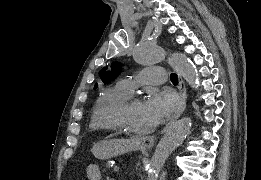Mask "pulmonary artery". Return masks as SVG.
Masks as SVG:
<instances>
[{"instance_id": "obj_1", "label": "pulmonary artery", "mask_w": 261, "mask_h": 180, "mask_svg": "<svg viewBox=\"0 0 261 180\" xmlns=\"http://www.w3.org/2000/svg\"><path fill=\"white\" fill-rule=\"evenodd\" d=\"M164 75V69H142L137 74L121 80L119 85L128 92L133 88H139L141 83L161 82Z\"/></svg>"}]
</instances>
